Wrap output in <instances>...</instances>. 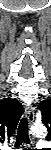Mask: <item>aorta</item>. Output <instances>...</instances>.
I'll list each match as a JSON object with an SVG mask.
<instances>
[{
	"label": "aorta",
	"mask_w": 51,
	"mask_h": 150,
	"mask_svg": "<svg viewBox=\"0 0 51 150\" xmlns=\"http://www.w3.org/2000/svg\"><path fill=\"white\" fill-rule=\"evenodd\" d=\"M30 132L32 135L44 138L47 135V129L43 124H35L31 127Z\"/></svg>",
	"instance_id": "aorta-1"
}]
</instances>
